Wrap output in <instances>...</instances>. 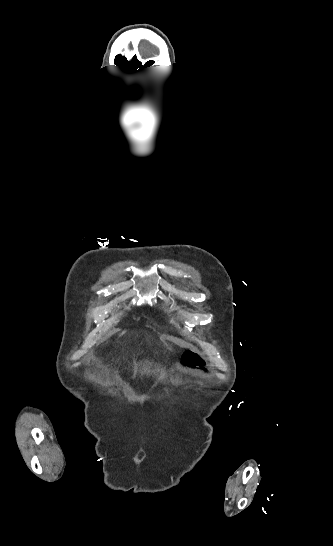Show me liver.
Masks as SVG:
<instances>
[{"label":"liver","mask_w":333,"mask_h":546,"mask_svg":"<svg viewBox=\"0 0 333 546\" xmlns=\"http://www.w3.org/2000/svg\"><path fill=\"white\" fill-rule=\"evenodd\" d=\"M143 366H145V365L143 364ZM147 370H148V369H147L146 367L143 368V371H144V372H146ZM137 371H138V364H137V363H134V373L136 374ZM143 371H141V373H143ZM148 372H149V370H148Z\"/></svg>","instance_id":"liver-1"}]
</instances>
